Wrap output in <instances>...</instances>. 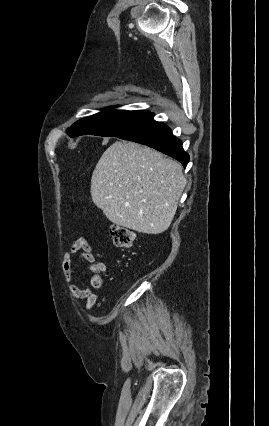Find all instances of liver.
Masks as SVG:
<instances>
[{
  "mask_svg": "<svg viewBox=\"0 0 269 426\" xmlns=\"http://www.w3.org/2000/svg\"><path fill=\"white\" fill-rule=\"evenodd\" d=\"M185 185L178 162L149 147L116 141L93 171L91 197L113 224L160 234L170 226Z\"/></svg>",
  "mask_w": 269,
  "mask_h": 426,
  "instance_id": "obj_1",
  "label": "liver"
}]
</instances>
